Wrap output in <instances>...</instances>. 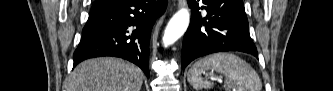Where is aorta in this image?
<instances>
[{
    "label": "aorta",
    "instance_id": "762f6f07",
    "mask_svg": "<svg viewBox=\"0 0 333 91\" xmlns=\"http://www.w3.org/2000/svg\"><path fill=\"white\" fill-rule=\"evenodd\" d=\"M190 21V13L187 8L180 9L170 19L162 38L165 47L175 43L187 30Z\"/></svg>",
    "mask_w": 333,
    "mask_h": 91
}]
</instances>
